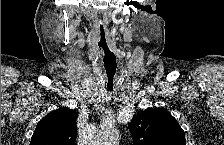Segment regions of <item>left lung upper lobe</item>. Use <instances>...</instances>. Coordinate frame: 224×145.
I'll use <instances>...</instances> for the list:
<instances>
[{
  "label": "left lung upper lobe",
  "instance_id": "5c2ea615",
  "mask_svg": "<svg viewBox=\"0 0 224 145\" xmlns=\"http://www.w3.org/2000/svg\"><path fill=\"white\" fill-rule=\"evenodd\" d=\"M134 145H185L176 119L163 108L146 109L129 123Z\"/></svg>",
  "mask_w": 224,
  "mask_h": 145
}]
</instances>
